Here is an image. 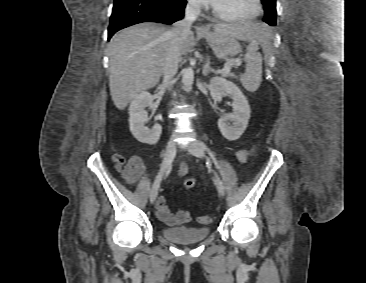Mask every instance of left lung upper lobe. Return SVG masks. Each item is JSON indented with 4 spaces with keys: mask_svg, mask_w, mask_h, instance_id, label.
Segmentation results:
<instances>
[{
    "mask_svg": "<svg viewBox=\"0 0 366 283\" xmlns=\"http://www.w3.org/2000/svg\"><path fill=\"white\" fill-rule=\"evenodd\" d=\"M265 10L264 21L271 26L276 25V0H261Z\"/></svg>",
    "mask_w": 366,
    "mask_h": 283,
    "instance_id": "obj_1",
    "label": "left lung upper lobe"
}]
</instances>
